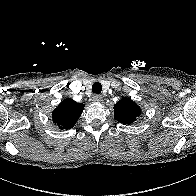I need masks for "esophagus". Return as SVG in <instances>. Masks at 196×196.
Returning <instances> with one entry per match:
<instances>
[{
	"label": "esophagus",
	"instance_id": "esophagus-1",
	"mask_svg": "<svg viewBox=\"0 0 196 196\" xmlns=\"http://www.w3.org/2000/svg\"><path fill=\"white\" fill-rule=\"evenodd\" d=\"M92 98L93 102L95 103H100L103 100L101 95H94Z\"/></svg>",
	"mask_w": 196,
	"mask_h": 196
}]
</instances>
